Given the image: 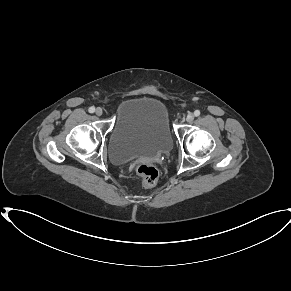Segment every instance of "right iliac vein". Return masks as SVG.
<instances>
[{
  "mask_svg": "<svg viewBox=\"0 0 291 291\" xmlns=\"http://www.w3.org/2000/svg\"><path fill=\"white\" fill-rule=\"evenodd\" d=\"M95 113H96L97 116H101L103 114L102 108L97 107L96 110H95Z\"/></svg>",
  "mask_w": 291,
  "mask_h": 291,
  "instance_id": "63e3f726",
  "label": "right iliac vein"
}]
</instances>
